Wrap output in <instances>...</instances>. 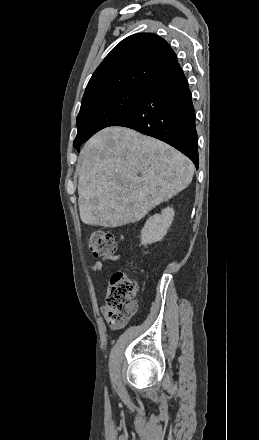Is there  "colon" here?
I'll return each mask as SVG.
<instances>
[{"mask_svg": "<svg viewBox=\"0 0 259 440\" xmlns=\"http://www.w3.org/2000/svg\"><path fill=\"white\" fill-rule=\"evenodd\" d=\"M89 249L94 256L106 257L114 255L118 246L111 233L97 230L90 235ZM137 290V283L126 273L116 272L111 276L104 305L106 318L111 326L123 327L134 315Z\"/></svg>", "mask_w": 259, "mask_h": 440, "instance_id": "1", "label": "colon"}]
</instances>
